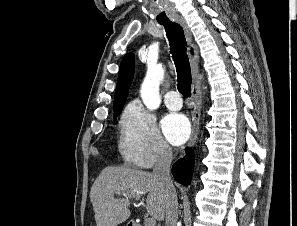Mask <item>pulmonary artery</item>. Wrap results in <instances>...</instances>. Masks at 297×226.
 Segmentation results:
<instances>
[{"label": "pulmonary artery", "instance_id": "obj_1", "mask_svg": "<svg viewBox=\"0 0 297 226\" xmlns=\"http://www.w3.org/2000/svg\"><path fill=\"white\" fill-rule=\"evenodd\" d=\"M165 105L170 110H179L182 106V100L176 91H169L164 97Z\"/></svg>", "mask_w": 297, "mask_h": 226}]
</instances>
